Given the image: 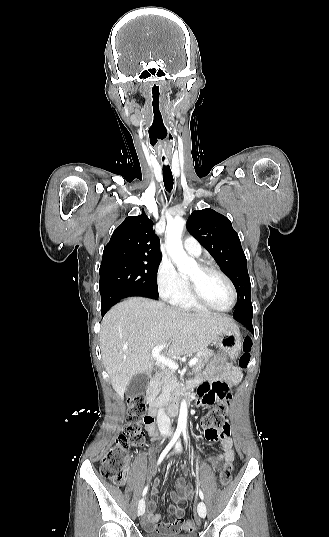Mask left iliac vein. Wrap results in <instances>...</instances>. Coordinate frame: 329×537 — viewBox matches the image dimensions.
<instances>
[{
  "label": "left iliac vein",
  "mask_w": 329,
  "mask_h": 537,
  "mask_svg": "<svg viewBox=\"0 0 329 537\" xmlns=\"http://www.w3.org/2000/svg\"><path fill=\"white\" fill-rule=\"evenodd\" d=\"M176 448H177V450H179V451L182 450V446H181L180 441L177 442V444H176ZM197 512H198V515H199L201 518H205V517H206L207 509H206V505H205L204 502L201 501V502L198 504Z\"/></svg>",
  "instance_id": "obj_1"
}]
</instances>
